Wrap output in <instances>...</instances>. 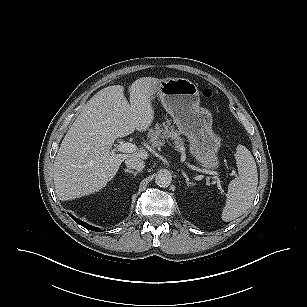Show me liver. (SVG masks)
<instances>
[{
  "label": "liver",
  "mask_w": 307,
  "mask_h": 307,
  "mask_svg": "<svg viewBox=\"0 0 307 307\" xmlns=\"http://www.w3.org/2000/svg\"><path fill=\"white\" fill-rule=\"evenodd\" d=\"M159 82L160 79L154 77L134 81L129 89L130 104L121 85L108 86L87 102L55 157L54 184L60 200L68 201L99 191L129 157L148 158L143 149L115 154L111 148L115 139L135 130L145 131L151 125L152 100Z\"/></svg>",
  "instance_id": "1"
}]
</instances>
